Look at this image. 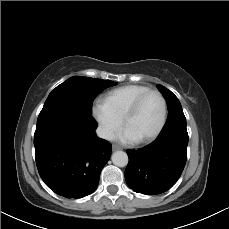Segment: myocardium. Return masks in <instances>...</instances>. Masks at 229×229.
Listing matches in <instances>:
<instances>
[{"label": "myocardium", "instance_id": "obj_1", "mask_svg": "<svg viewBox=\"0 0 229 229\" xmlns=\"http://www.w3.org/2000/svg\"><path fill=\"white\" fill-rule=\"evenodd\" d=\"M155 94L157 95L161 102H162V119L161 122L158 126V128L151 133L150 135H148L147 137L141 138L136 140L135 142H133L132 144H145V143H150L152 141H154L164 130L165 125L167 123V117H168V105H167V101L166 98L164 97V95L157 91V90H149L145 93H143L142 95H140L139 97H137L127 108L123 118H122V126L125 129V126L127 125V123L129 122V120L133 117V115L137 112L138 108L140 107V105L142 104V102L149 96Z\"/></svg>", "mask_w": 229, "mask_h": 229}]
</instances>
